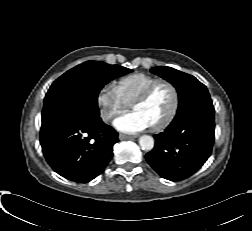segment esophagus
<instances>
[{
  "label": "esophagus",
  "mask_w": 252,
  "mask_h": 231,
  "mask_svg": "<svg viewBox=\"0 0 252 231\" xmlns=\"http://www.w3.org/2000/svg\"><path fill=\"white\" fill-rule=\"evenodd\" d=\"M136 136H131V135H126V134H119V139L120 140H125V139H133Z\"/></svg>",
  "instance_id": "esophagus-1"
}]
</instances>
